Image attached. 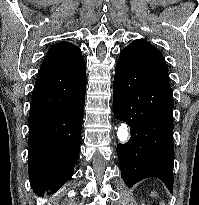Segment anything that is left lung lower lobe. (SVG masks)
I'll return each mask as SVG.
<instances>
[{
	"label": "left lung lower lobe",
	"instance_id": "1",
	"mask_svg": "<svg viewBox=\"0 0 199 205\" xmlns=\"http://www.w3.org/2000/svg\"><path fill=\"white\" fill-rule=\"evenodd\" d=\"M173 107L164 57L145 39L133 41L120 53L113 84L114 115L131 130L117 146L128 187L156 177L173 192Z\"/></svg>",
	"mask_w": 199,
	"mask_h": 205
}]
</instances>
